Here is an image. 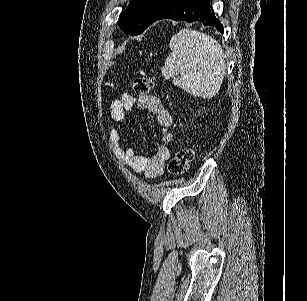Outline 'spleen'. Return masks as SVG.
<instances>
[{
	"label": "spleen",
	"mask_w": 307,
	"mask_h": 301,
	"mask_svg": "<svg viewBox=\"0 0 307 301\" xmlns=\"http://www.w3.org/2000/svg\"><path fill=\"white\" fill-rule=\"evenodd\" d=\"M169 48L172 52L162 66L163 78H172L174 86L192 96L213 98L220 90L226 70L224 50L216 38L206 32L182 28L173 34Z\"/></svg>",
	"instance_id": "spleen-1"
}]
</instances>
